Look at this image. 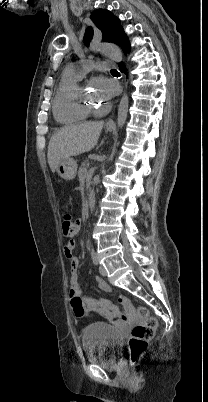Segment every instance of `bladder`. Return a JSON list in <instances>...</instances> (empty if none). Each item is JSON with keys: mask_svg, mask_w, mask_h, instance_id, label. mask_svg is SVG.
<instances>
[{"mask_svg": "<svg viewBox=\"0 0 208 402\" xmlns=\"http://www.w3.org/2000/svg\"><path fill=\"white\" fill-rule=\"evenodd\" d=\"M122 337L109 324L95 323L84 327L83 348L88 360L106 365L115 363Z\"/></svg>", "mask_w": 208, "mask_h": 402, "instance_id": "obj_1", "label": "bladder"}]
</instances>
